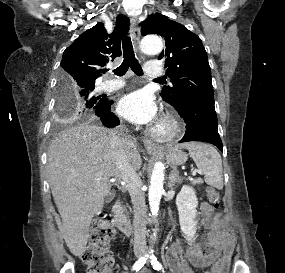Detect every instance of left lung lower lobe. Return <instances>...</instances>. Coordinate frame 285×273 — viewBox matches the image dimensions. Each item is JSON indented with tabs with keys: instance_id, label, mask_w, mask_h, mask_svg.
<instances>
[{
	"instance_id": "obj_1",
	"label": "left lung lower lobe",
	"mask_w": 285,
	"mask_h": 273,
	"mask_svg": "<svg viewBox=\"0 0 285 273\" xmlns=\"http://www.w3.org/2000/svg\"><path fill=\"white\" fill-rule=\"evenodd\" d=\"M172 106L186 122L187 130L180 142L203 141L217 146L222 151L214 99L187 100Z\"/></svg>"
}]
</instances>
